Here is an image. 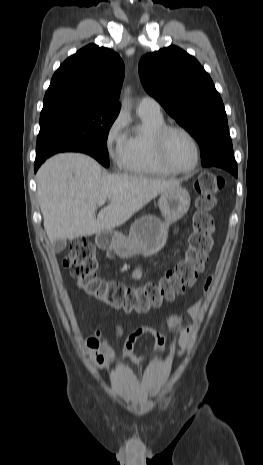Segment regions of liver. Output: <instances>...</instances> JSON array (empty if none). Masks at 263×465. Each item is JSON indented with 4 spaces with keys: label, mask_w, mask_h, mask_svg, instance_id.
<instances>
[{
    "label": "liver",
    "mask_w": 263,
    "mask_h": 465,
    "mask_svg": "<svg viewBox=\"0 0 263 465\" xmlns=\"http://www.w3.org/2000/svg\"><path fill=\"white\" fill-rule=\"evenodd\" d=\"M37 194L50 242L109 232L124 224L177 180L141 175H102L90 156L63 153L49 158L37 173ZM109 200L97 218L101 200Z\"/></svg>",
    "instance_id": "obj_1"
}]
</instances>
